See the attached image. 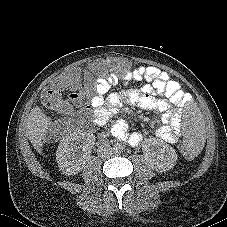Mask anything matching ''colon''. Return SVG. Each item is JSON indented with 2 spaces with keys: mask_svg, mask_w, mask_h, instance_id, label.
Wrapping results in <instances>:
<instances>
[{
  "mask_svg": "<svg viewBox=\"0 0 227 227\" xmlns=\"http://www.w3.org/2000/svg\"><path fill=\"white\" fill-rule=\"evenodd\" d=\"M91 69L95 73H102L106 69L109 72H131L133 63L131 61H109L97 60L91 64ZM81 84L80 72L73 70L65 75H62L49 84L41 91L40 99L44 106L64 115H71L73 112L72 105L63 97V91L72 89ZM70 122L63 120L55 123L50 129L51 136L61 135ZM175 149L178 150V155L182 156L185 162H193L196 159L194 153L189 152L181 142L175 143Z\"/></svg>",
  "mask_w": 227,
  "mask_h": 227,
  "instance_id": "colon-1",
  "label": "colon"
}]
</instances>
